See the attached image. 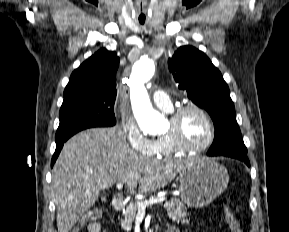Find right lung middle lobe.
I'll list each match as a JSON object with an SVG mask.
<instances>
[{
	"instance_id": "right-lung-middle-lobe-1",
	"label": "right lung middle lobe",
	"mask_w": 289,
	"mask_h": 232,
	"mask_svg": "<svg viewBox=\"0 0 289 232\" xmlns=\"http://www.w3.org/2000/svg\"><path fill=\"white\" fill-rule=\"evenodd\" d=\"M114 103L115 98L105 96L78 97L63 102L55 136L56 144L65 142L87 128L114 126Z\"/></svg>"
}]
</instances>
